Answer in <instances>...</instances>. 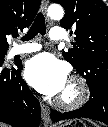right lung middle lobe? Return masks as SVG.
<instances>
[{"instance_id": "right-lung-middle-lobe-1", "label": "right lung middle lobe", "mask_w": 108, "mask_h": 127, "mask_svg": "<svg viewBox=\"0 0 108 127\" xmlns=\"http://www.w3.org/2000/svg\"><path fill=\"white\" fill-rule=\"evenodd\" d=\"M7 54V50H0V63H3L4 56Z\"/></svg>"}]
</instances>
